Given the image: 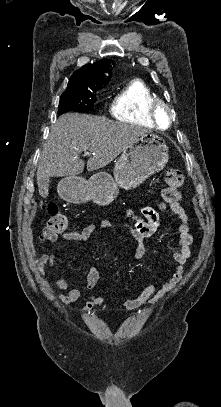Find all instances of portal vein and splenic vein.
Instances as JSON below:
<instances>
[{
	"instance_id": "18ae733b",
	"label": "portal vein and splenic vein",
	"mask_w": 221,
	"mask_h": 407,
	"mask_svg": "<svg viewBox=\"0 0 221 407\" xmlns=\"http://www.w3.org/2000/svg\"><path fill=\"white\" fill-rule=\"evenodd\" d=\"M84 153H85V155H89V152H88V151H85ZM93 155H94V153H93Z\"/></svg>"
}]
</instances>
